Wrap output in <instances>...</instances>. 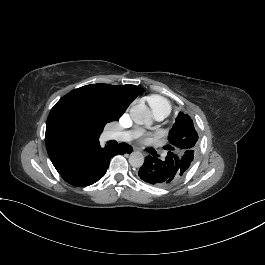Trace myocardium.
<instances>
[{"label":"myocardium","instance_id":"1","mask_svg":"<svg viewBox=\"0 0 265 265\" xmlns=\"http://www.w3.org/2000/svg\"><path fill=\"white\" fill-rule=\"evenodd\" d=\"M158 100H161L162 102L165 103V100L159 99L157 97L150 98L149 103V110L154 113L157 117V120H160L162 117L166 116L168 112V108L165 105H160L158 103ZM160 130H158V133Z\"/></svg>","mask_w":265,"mask_h":265}]
</instances>
